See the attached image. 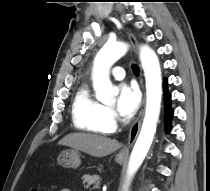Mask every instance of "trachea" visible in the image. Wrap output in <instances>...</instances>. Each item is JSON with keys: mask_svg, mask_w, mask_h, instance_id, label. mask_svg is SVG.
<instances>
[{"mask_svg": "<svg viewBox=\"0 0 210 191\" xmlns=\"http://www.w3.org/2000/svg\"><path fill=\"white\" fill-rule=\"evenodd\" d=\"M132 71L135 75H138L140 72V68L137 65L132 66Z\"/></svg>", "mask_w": 210, "mask_h": 191, "instance_id": "1", "label": "trachea"}]
</instances>
